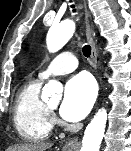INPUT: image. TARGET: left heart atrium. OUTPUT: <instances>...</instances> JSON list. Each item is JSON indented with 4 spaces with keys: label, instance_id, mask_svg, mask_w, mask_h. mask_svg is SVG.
I'll list each match as a JSON object with an SVG mask.
<instances>
[{
    "label": "left heart atrium",
    "instance_id": "39dd6f15",
    "mask_svg": "<svg viewBox=\"0 0 131 151\" xmlns=\"http://www.w3.org/2000/svg\"><path fill=\"white\" fill-rule=\"evenodd\" d=\"M96 96V84L87 73L73 76L66 84L60 106L61 116L68 121H79L90 111Z\"/></svg>",
    "mask_w": 131,
    "mask_h": 151
}]
</instances>
